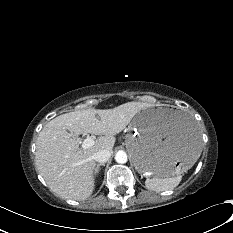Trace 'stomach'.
<instances>
[{"label": "stomach", "mask_w": 233, "mask_h": 233, "mask_svg": "<svg viewBox=\"0 0 233 233\" xmlns=\"http://www.w3.org/2000/svg\"><path fill=\"white\" fill-rule=\"evenodd\" d=\"M126 147L138 172L172 176L195 162L201 141L186 112L159 107L136 114L128 128Z\"/></svg>", "instance_id": "stomach-1"}]
</instances>
